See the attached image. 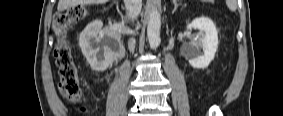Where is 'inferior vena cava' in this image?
Returning a JSON list of instances; mask_svg holds the SVG:
<instances>
[{"label":"inferior vena cava","mask_w":283,"mask_h":116,"mask_svg":"<svg viewBox=\"0 0 283 116\" xmlns=\"http://www.w3.org/2000/svg\"><path fill=\"white\" fill-rule=\"evenodd\" d=\"M125 5L128 18L135 20L141 11L142 0H125Z\"/></svg>","instance_id":"inferior-vena-cava-1"}]
</instances>
